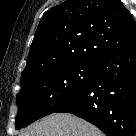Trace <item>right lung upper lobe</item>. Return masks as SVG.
<instances>
[{
	"label": "right lung upper lobe",
	"mask_w": 136,
	"mask_h": 136,
	"mask_svg": "<svg viewBox=\"0 0 136 136\" xmlns=\"http://www.w3.org/2000/svg\"><path fill=\"white\" fill-rule=\"evenodd\" d=\"M136 41V22L120 0H66L46 11L21 82L53 66L98 64Z\"/></svg>",
	"instance_id": "right-lung-upper-lobe-1"
}]
</instances>
